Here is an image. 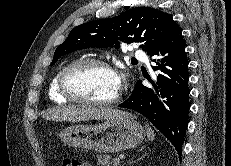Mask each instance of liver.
I'll return each instance as SVG.
<instances>
[{"mask_svg":"<svg viewBox=\"0 0 231 166\" xmlns=\"http://www.w3.org/2000/svg\"><path fill=\"white\" fill-rule=\"evenodd\" d=\"M129 114L111 107H91V106H57L45 111L42 117L53 121L80 122L86 120H113L118 117Z\"/></svg>","mask_w":231,"mask_h":166,"instance_id":"1","label":"liver"}]
</instances>
